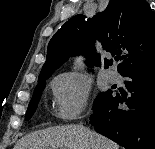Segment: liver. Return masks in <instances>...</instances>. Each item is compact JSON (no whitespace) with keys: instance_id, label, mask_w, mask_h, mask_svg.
I'll use <instances>...</instances> for the list:
<instances>
[{"instance_id":"liver-1","label":"liver","mask_w":155,"mask_h":149,"mask_svg":"<svg viewBox=\"0 0 155 149\" xmlns=\"http://www.w3.org/2000/svg\"><path fill=\"white\" fill-rule=\"evenodd\" d=\"M14 149H119V145L82 125H64L31 132Z\"/></svg>"}]
</instances>
